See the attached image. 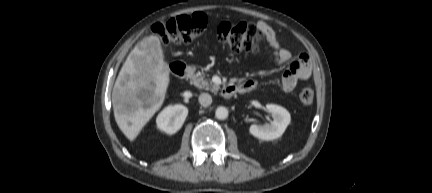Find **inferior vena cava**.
<instances>
[{"label":"inferior vena cava","instance_id":"1","mask_svg":"<svg viewBox=\"0 0 432 193\" xmlns=\"http://www.w3.org/2000/svg\"><path fill=\"white\" fill-rule=\"evenodd\" d=\"M199 103L204 107L209 106L212 103L211 95L208 93H201L199 96Z\"/></svg>","mask_w":432,"mask_h":193}]
</instances>
